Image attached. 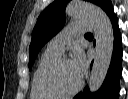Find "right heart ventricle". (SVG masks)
Masks as SVG:
<instances>
[{"label":"right heart ventricle","instance_id":"right-heart-ventricle-1","mask_svg":"<svg viewBox=\"0 0 128 99\" xmlns=\"http://www.w3.org/2000/svg\"><path fill=\"white\" fill-rule=\"evenodd\" d=\"M60 56V54L49 51L48 49H46L40 56L36 64L31 83L30 96L32 99H56L59 97L56 94L48 91L43 86L42 75L51 64L60 58Z\"/></svg>","mask_w":128,"mask_h":99}]
</instances>
